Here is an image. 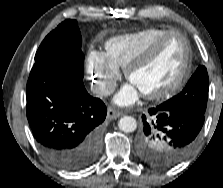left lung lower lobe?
Returning a JSON list of instances; mask_svg holds the SVG:
<instances>
[{
    "label": "left lung lower lobe",
    "instance_id": "0a47b994",
    "mask_svg": "<svg viewBox=\"0 0 223 188\" xmlns=\"http://www.w3.org/2000/svg\"><path fill=\"white\" fill-rule=\"evenodd\" d=\"M204 119L203 114L196 112L167 110L161 105L151 108L148 115L142 116L143 128L138 136V147L145 150L148 145L145 137H153L155 131L167 148L164 167L174 165L193 150Z\"/></svg>",
    "mask_w": 223,
    "mask_h": 188
}]
</instances>
